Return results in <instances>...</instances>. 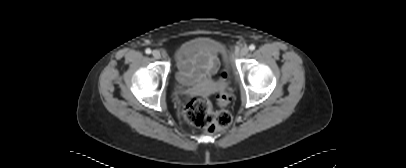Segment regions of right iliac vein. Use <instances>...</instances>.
<instances>
[{
    "mask_svg": "<svg viewBox=\"0 0 406 168\" xmlns=\"http://www.w3.org/2000/svg\"><path fill=\"white\" fill-rule=\"evenodd\" d=\"M152 55L155 59H160L161 58V53L158 50H154L152 52Z\"/></svg>",
    "mask_w": 406,
    "mask_h": 168,
    "instance_id": "obj_1",
    "label": "right iliac vein"
}]
</instances>
